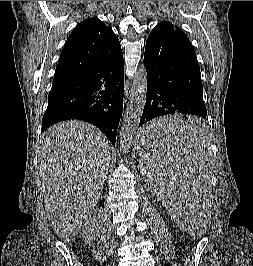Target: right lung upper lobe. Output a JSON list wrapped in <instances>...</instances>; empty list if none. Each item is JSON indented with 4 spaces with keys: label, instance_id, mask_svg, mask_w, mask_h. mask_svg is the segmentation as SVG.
Wrapping results in <instances>:
<instances>
[{
    "label": "right lung upper lobe",
    "instance_id": "right-lung-upper-lobe-1",
    "mask_svg": "<svg viewBox=\"0 0 253 266\" xmlns=\"http://www.w3.org/2000/svg\"><path fill=\"white\" fill-rule=\"evenodd\" d=\"M122 53L114 34L97 17L82 21L69 35L56 67L53 84L100 66Z\"/></svg>",
    "mask_w": 253,
    "mask_h": 266
}]
</instances>
